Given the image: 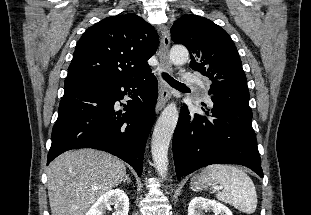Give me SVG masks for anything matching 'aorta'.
<instances>
[{
    "label": "aorta",
    "mask_w": 311,
    "mask_h": 215,
    "mask_svg": "<svg viewBox=\"0 0 311 215\" xmlns=\"http://www.w3.org/2000/svg\"><path fill=\"white\" fill-rule=\"evenodd\" d=\"M189 58L186 47L173 46L170 50V61L175 65L185 63ZM178 121V110L175 103L168 104L158 118L151 140V153L158 175L162 178L168 170V148Z\"/></svg>",
    "instance_id": "obj_1"
}]
</instances>
